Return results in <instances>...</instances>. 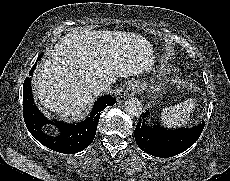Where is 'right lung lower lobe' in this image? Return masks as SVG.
Segmentation results:
<instances>
[{"label":"right lung lower lobe","instance_id":"1","mask_svg":"<svg viewBox=\"0 0 230 181\" xmlns=\"http://www.w3.org/2000/svg\"><path fill=\"white\" fill-rule=\"evenodd\" d=\"M42 54L37 58L40 60ZM36 61V63H37ZM35 63V64H36ZM36 65H34L29 75H32ZM115 99L110 95L100 97L94 105L90 117L76 125L66 124L61 121L48 120L34 105L31 90V80L26 78L23 84V115L27 129L39 142L54 151L74 154L88 147L96 134L97 124L101 111L115 103ZM47 124L55 125L60 135L51 137L45 132Z\"/></svg>","mask_w":230,"mask_h":181}]
</instances>
